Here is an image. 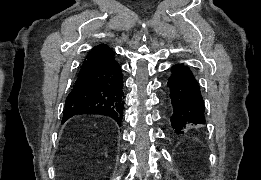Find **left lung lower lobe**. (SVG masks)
<instances>
[{
    "instance_id": "left-lung-lower-lobe-1",
    "label": "left lung lower lobe",
    "mask_w": 261,
    "mask_h": 180,
    "mask_svg": "<svg viewBox=\"0 0 261 180\" xmlns=\"http://www.w3.org/2000/svg\"><path fill=\"white\" fill-rule=\"evenodd\" d=\"M168 87L171 126L175 134L206 124L200 86L187 65L180 63L171 67Z\"/></svg>"
}]
</instances>
